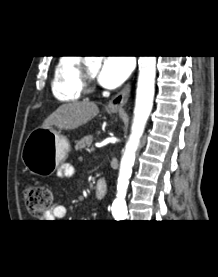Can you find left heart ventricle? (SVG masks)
Here are the masks:
<instances>
[{"mask_svg": "<svg viewBox=\"0 0 218 277\" xmlns=\"http://www.w3.org/2000/svg\"><path fill=\"white\" fill-rule=\"evenodd\" d=\"M98 65L97 64H88L87 65V68L89 70V72L92 74V75H95L97 70H98Z\"/></svg>", "mask_w": 218, "mask_h": 277, "instance_id": "1", "label": "left heart ventricle"}]
</instances>
